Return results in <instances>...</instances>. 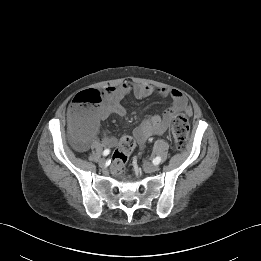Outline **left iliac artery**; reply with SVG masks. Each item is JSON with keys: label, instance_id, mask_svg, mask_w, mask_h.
Instances as JSON below:
<instances>
[{"label": "left iliac artery", "instance_id": "left-iliac-artery-1", "mask_svg": "<svg viewBox=\"0 0 261 261\" xmlns=\"http://www.w3.org/2000/svg\"><path fill=\"white\" fill-rule=\"evenodd\" d=\"M161 162V157L160 156H157L155 159H154V164H159Z\"/></svg>", "mask_w": 261, "mask_h": 261}]
</instances>
